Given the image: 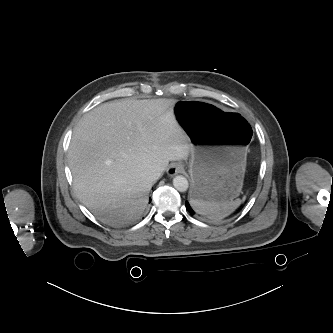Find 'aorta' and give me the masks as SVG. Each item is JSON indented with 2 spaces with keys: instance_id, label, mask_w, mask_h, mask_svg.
Masks as SVG:
<instances>
[{
  "instance_id": "aorta-1",
  "label": "aorta",
  "mask_w": 333,
  "mask_h": 333,
  "mask_svg": "<svg viewBox=\"0 0 333 333\" xmlns=\"http://www.w3.org/2000/svg\"><path fill=\"white\" fill-rule=\"evenodd\" d=\"M173 185L178 191L185 192L188 189L189 184L184 176L177 175L173 178Z\"/></svg>"
}]
</instances>
